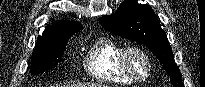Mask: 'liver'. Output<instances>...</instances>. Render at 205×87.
<instances>
[{
    "label": "liver",
    "mask_w": 205,
    "mask_h": 87,
    "mask_svg": "<svg viewBox=\"0 0 205 87\" xmlns=\"http://www.w3.org/2000/svg\"><path fill=\"white\" fill-rule=\"evenodd\" d=\"M63 87H105V85L98 83H89V84H77V85H64Z\"/></svg>",
    "instance_id": "1"
}]
</instances>
